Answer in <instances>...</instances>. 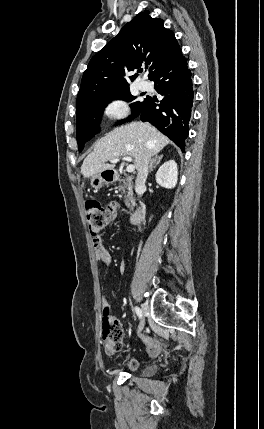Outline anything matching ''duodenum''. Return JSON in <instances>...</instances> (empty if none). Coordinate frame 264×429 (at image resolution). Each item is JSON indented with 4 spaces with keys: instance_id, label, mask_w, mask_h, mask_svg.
I'll return each mask as SVG.
<instances>
[{
    "instance_id": "1",
    "label": "duodenum",
    "mask_w": 264,
    "mask_h": 429,
    "mask_svg": "<svg viewBox=\"0 0 264 429\" xmlns=\"http://www.w3.org/2000/svg\"><path fill=\"white\" fill-rule=\"evenodd\" d=\"M112 178L114 180H117V179H119V175L115 173L112 175ZM143 211L144 210H143L142 206H140V205L136 206V209L134 210V212L130 216L131 224L138 225L141 223L142 217H143Z\"/></svg>"
}]
</instances>
